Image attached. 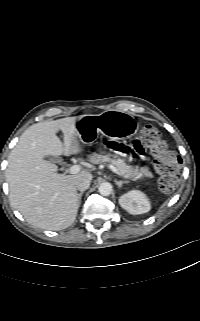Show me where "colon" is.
Returning a JSON list of instances; mask_svg holds the SVG:
<instances>
[{"mask_svg": "<svg viewBox=\"0 0 200 321\" xmlns=\"http://www.w3.org/2000/svg\"><path fill=\"white\" fill-rule=\"evenodd\" d=\"M142 144L154 159V168L160 175V188L165 192H172L179 186L178 155L171 151L162 140L160 132L153 126H144L140 131Z\"/></svg>", "mask_w": 200, "mask_h": 321, "instance_id": "colon-1", "label": "colon"}]
</instances>
